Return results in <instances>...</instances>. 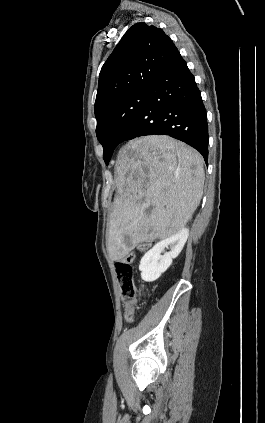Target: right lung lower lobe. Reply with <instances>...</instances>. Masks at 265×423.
Wrapping results in <instances>:
<instances>
[{
	"instance_id": "right-lung-lower-lobe-1",
	"label": "right lung lower lobe",
	"mask_w": 265,
	"mask_h": 423,
	"mask_svg": "<svg viewBox=\"0 0 265 423\" xmlns=\"http://www.w3.org/2000/svg\"><path fill=\"white\" fill-rule=\"evenodd\" d=\"M169 135L198 150L208 162L206 110L194 76L178 53L156 80L147 102L118 144L144 135Z\"/></svg>"
}]
</instances>
